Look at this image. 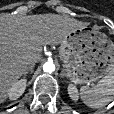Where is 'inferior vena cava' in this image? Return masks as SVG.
<instances>
[{
  "label": "inferior vena cava",
  "mask_w": 114,
  "mask_h": 114,
  "mask_svg": "<svg viewBox=\"0 0 114 114\" xmlns=\"http://www.w3.org/2000/svg\"><path fill=\"white\" fill-rule=\"evenodd\" d=\"M32 65H34V62L29 63V67H31Z\"/></svg>",
  "instance_id": "602c4592"
}]
</instances>
